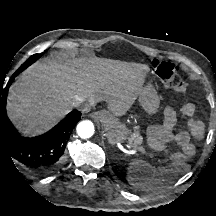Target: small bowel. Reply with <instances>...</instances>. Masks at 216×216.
Masks as SVG:
<instances>
[{
    "mask_svg": "<svg viewBox=\"0 0 216 216\" xmlns=\"http://www.w3.org/2000/svg\"><path fill=\"white\" fill-rule=\"evenodd\" d=\"M179 112L188 118L187 129L174 132L177 117L174 110L168 108L165 111L164 121L160 127L161 144H167L174 141L187 156L195 153V146L192 139L200 140L204 136V124L202 121L194 118L195 106L192 103H185L180 106Z\"/></svg>",
    "mask_w": 216,
    "mask_h": 216,
    "instance_id": "small-bowel-1",
    "label": "small bowel"
}]
</instances>
